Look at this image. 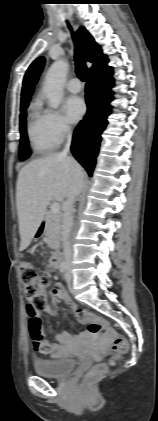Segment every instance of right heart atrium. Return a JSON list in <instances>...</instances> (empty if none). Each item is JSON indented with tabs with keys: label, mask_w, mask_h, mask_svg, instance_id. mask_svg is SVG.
<instances>
[{
	"label": "right heart atrium",
	"mask_w": 158,
	"mask_h": 421,
	"mask_svg": "<svg viewBox=\"0 0 158 421\" xmlns=\"http://www.w3.org/2000/svg\"><path fill=\"white\" fill-rule=\"evenodd\" d=\"M45 114L49 134L58 144L71 133V125L66 117L58 111L48 110Z\"/></svg>",
	"instance_id": "right-heart-atrium-1"
}]
</instances>
